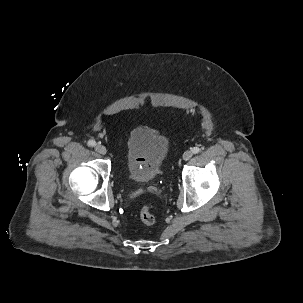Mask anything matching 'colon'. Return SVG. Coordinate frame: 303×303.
<instances>
[{"mask_svg": "<svg viewBox=\"0 0 303 303\" xmlns=\"http://www.w3.org/2000/svg\"><path fill=\"white\" fill-rule=\"evenodd\" d=\"M139 217L143 224L147 226H152L155 224L156 219L152 214L150 208L147 205H143L139 210Z\"/></svg>", "mask_w": 303, "mask_h": 303, "instance_id": "colon-1", "label": "colon"}]
</instances>
